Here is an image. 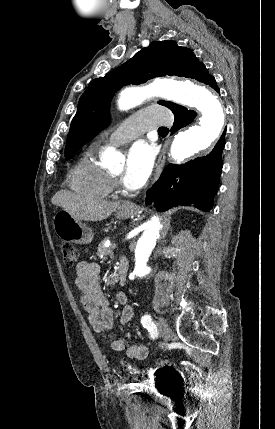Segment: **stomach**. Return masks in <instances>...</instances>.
Segmentation results:
<instances>
[{
	"instance_id": "stomach-1",
	"label": "stomach",
	"mask_w": 275,
	"mask_h": 429,
	"mask_svg": "<svg viewBox=\"0 0 275 429\" xmlns=\"http://www.w3.org/2000/svg\"><path fill=\"white\" fill-rule=\"evenodd\" d=\"M135 211L136 208L122 204L118 207L115 215L119 219H126L133 215ZM53 228L61 239L77 244H89L94 237L91 228L76 220L65 210H60L54 215Z\"/></svg>"
}]
</instances>
